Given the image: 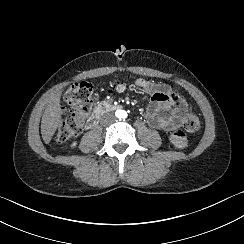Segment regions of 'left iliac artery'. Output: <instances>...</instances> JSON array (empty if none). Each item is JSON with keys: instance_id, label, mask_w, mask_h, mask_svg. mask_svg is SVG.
<instances>
[{"instance_id": "1", "label": "left iliac artery", "mask_w": 244, "mask_h": 244, "mask_svg": "<svg viewBox=\"0 0 244 244\" xmlns=\"http://www.w3.org/2000/svg\"><path fill=\"white\" fill-rule=\"evenodd\" d=\"M124 114H125V117H127V113H126V112H124Z\"/></svg>"}]
</instances>
